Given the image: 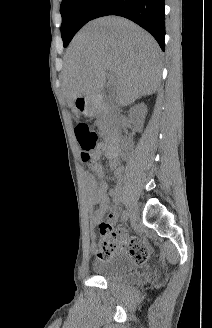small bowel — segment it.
<instances>
[{
	"label": "small bowel",
	"mask_w": 212,
	"mask_h": 328,
	"mask_svg": "<svg viewBox=\"0 0 212 328\" xmlns=\"http://www.w3.org/2000/svg\"><path fill=\"white\" fill-rule=\"evenodd\" d=\"M104 152V144H100L94 154V159H98ZM115 168L116 179L120 182L123 178V169L118 166L117 162H112ZM91 168L96 173L97 177L87 173L84 177V185L87 201L90 205H98V209L92 214L91 222L94 226L102 223H107L110 226L118 222L120 212V189L107 190V185L104 180V172L102 167L96 162L91 163ZM112 201V205L110 204ZM106 214L108 215V222H103ZM118 242L116 248L109 258L125 257L132 261L138 262V259L143 251H147L143 242L136 238L129 236L124 230L118 232ZM93 250L98 252L96 243H93ZM102 259V258H101Z\"/></svg>",
	"instance_id": "c3829d8e"
}]
</instances>
